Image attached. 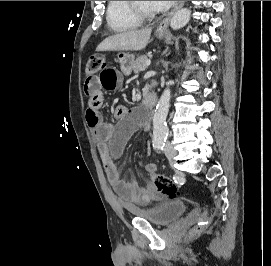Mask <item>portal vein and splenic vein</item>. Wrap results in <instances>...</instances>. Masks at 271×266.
I'll list each match as a JSON object with an SVG mask.
<instances>
[{
	"instance_id": "portal-vein-and-splenic-vein-1",
	"label": "portal vein and splenic vein",
	"mask_w": 271,
	"mask_h": 266,
	"mask_svg": "<svg viewBox=\"0 0 271 266\" xmlns=\"http://www.w3.org/2000/svg\"><path fill=\"white\" fill-rule=\"evenodd\" d=\"M150 64H151V61H150V60H147V61L145 62V66H150Z\"/></svg>"
}]
</instances>
